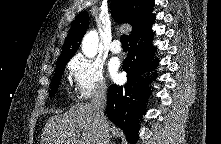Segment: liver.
I'll list each match as a JSON object with an SVG mask.
<instances>
[{"label": "liver", "mask_w": 221, "mask_h": 144, "mask_svg": "<svg viewBox=\"0 0 221 144\" xmlns=\"http://www.w3.org/2000/svg\"><path fill=\"white\" fill-rule=\"evenodd\" d=\"M99 131L90 104L77 103L62 115L48 119L41 144H98Z\"/></svg>", "instance_id": "liver-1"}]
</instances>
